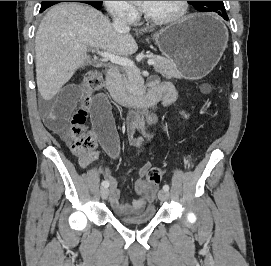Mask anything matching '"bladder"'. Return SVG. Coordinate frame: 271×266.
Segmentation results:
<instances>
[{
	"mask_svg": "<svg viewBox=\"0 0 271 266\" xmlns=\"http://www.w3.org/2000/svg\"><path fill=\"white\" fill-rule=\"evenodd\" d=\"M156 216L154 207H148L134 216L116 215V218L127 225H143L151 222Z\"/></svg>",
	"mask_w": 271,
	"mask_h": 266,
	"instance_id": "obj_1",
	"label": "bladder"
}]
</instances>
